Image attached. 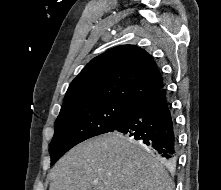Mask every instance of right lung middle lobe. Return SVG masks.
<instances>
[{
	"label": "right lung middle lobe",
	"mask_w": 221,
	"mask_h": 190,
	"mask_svg": "<svg viewBox=\"0 0 221 190\" xmlns=\"http://www.w3.org/2000/svg\"><path fill=\"white\" fill-rule=\"evenodd\" d=\"M133 106L113 101H94L61 108L51 141V165L78 143L111 132Z\"/></svg>",
	"instance_id": "1"
}]
</instances>
